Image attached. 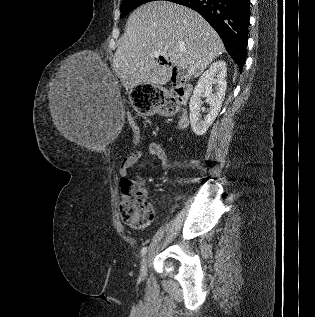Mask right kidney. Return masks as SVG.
Masks as SVG:
<instances>
[{
    "label": "right kidney",
    "instance_id": "ca27d5eb",
    "mask_svg": "<svg viewBox=\"0 0 315 317\" xmlns=\"http://www.w3.org/2000/svg\"><path fill=\"white\" fill-rule=\"evenodd\" d=\"M226 75V63L222 60L216 61L212 63L209 69L201 75L195 86L193 95L190 99L189 108L191 128L198 136L206 133L221 109L227 88V82L225 80ZM214 84H216L215 93H213L212 89ZM203 95L206 97V101L210 105V110L204 119H201V97Z\"/></svg>",
    "mask_w": 315,
    "mask_h": 317
}]
</instances>
